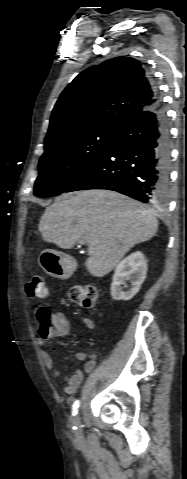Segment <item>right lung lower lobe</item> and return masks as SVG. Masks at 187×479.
Listing matches in <instances>:
<instances>
[{
    "label": "right lung lower lobe",
    "instance_id": "98d812e1",
    "mask_svg": "<svg viewBox=\"0 0 187 479\" xmlns=\"http://www.w3.org/2000/svg\"><path fill=\"white\" fill-rule=\"evenodd\" d=\"M170 159L168 118L159 99L131 118L65 192L108 189L144 203H162L169 191Z\"/></svg>",
    "mask_w": 187,
    "mask_h": 479
}]
</instances>
